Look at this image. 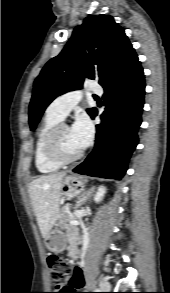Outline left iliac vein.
<instances>
[{
    "label": "left iliac vein",
    "mask_w": 170,
    "mask_h": 293,
    "mask_svg": "<svg viewBox=\"0 0 170 293\" xmlns=\"http://www.w3.org/2000/svg\"><path fill=\"white\" fill-rule=\"evenodd\" d=\"M102 286H104L106 288V290H110V283L108 281H102L100 283Z\"/></svg>",
    "instance_id": "left-iliac-vein-1"
}]
</instances>
